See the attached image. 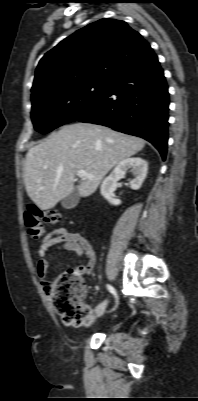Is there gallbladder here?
<instances>
[{
  "instance_id": "obj_1",
  "label": "gallbladder",
  "mask_w": 198,
  "mask_h": 401,
  "mask_svg": "<svg viewBox=\"0 0 198 401\" xmlns=\"http://www.w3.org/2000/svg\"><path fill=\"white\" fill-rule=\"evenodd\" d=\"M79 198L78 189L74 188L72 193L62 201V206L66 209H72L78 204Z\"/></svg>"
}]
</instances>
